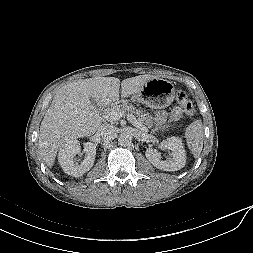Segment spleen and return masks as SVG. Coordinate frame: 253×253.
Returning <instances> with one entry per match:
<instances>
[{
	"mask_svg": "<svg viewBox=\"0 0 253 253\" xmlns=\"http://www.w3.org/2000/svg\"><path fill=\"white\" fill-rule=\"evenodd\" d=\"M185 138L194 157H199L203 148V124L200 119L188 125L185 130Z\"/></svg>",
	"mask_w": 253,
	"mask_h": 253,
	"instance_id": "3e777b00",
	"label": "spleen"
}]
</instances>
